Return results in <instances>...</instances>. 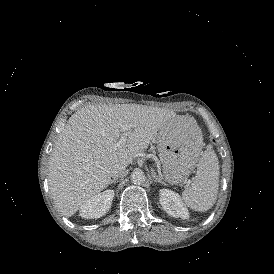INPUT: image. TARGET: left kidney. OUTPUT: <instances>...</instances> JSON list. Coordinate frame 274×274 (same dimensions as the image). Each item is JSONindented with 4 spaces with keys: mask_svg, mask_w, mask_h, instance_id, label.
<instances>
[{
    "mask_svg": "<svg viewBox=\"0 0 274 274\" xmlns=\"http://www.w3.org/2000/svg\"><path fill=\"white\" fill-rule=\"evenodd\" d=\"M160 204L169 215L174 218L180 217L187 219L189 217L188 210L182 204L179 196L169 190H161L159 196Z\"/></svg>",
    "mask_w": 274,
    "mask_h": 274,
    "instance_id": "left-kidney-1",
    "label": "left kidney"
}]
</instances>
